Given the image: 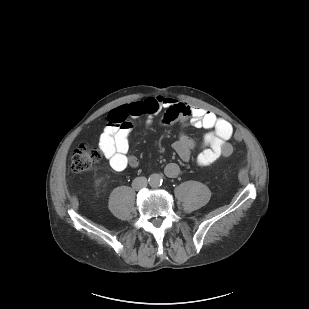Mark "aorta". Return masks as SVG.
<instances>
[{
    "mask_svg": "<svg viewBox=\"0 0 309 309\" xmlns=\"http://www.w3.org/2000/svg\"><path fill=\"white\" fill-rule=\"evenodd\" d=\"M149 185L151 187H158L162 184V177L159 174H151L148 179Z\"/></svg>",
    "mask_w": 309,
    "mask_h": 309,
    "instance_id": "obj_1",
    "label": "aorta"
}]
</instances>
